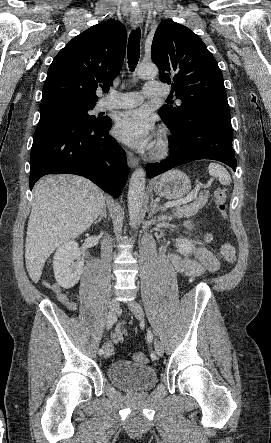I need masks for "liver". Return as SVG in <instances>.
<instances>
[{
  "instance_id": "obj_1",
  "label": "liver",
  "mask_w": 271,
  "mask_h": 443,
  "mask_svg": "<svg viewBox=\"0 0 271 443\" xmlns=\"http://www.w3.org/2000/svg\"><path fill=\"white\" fill-rule=\"evenodd\" d=\"M25 243L27 271L34 283L56 247L86 231L105 206L103 192L71 174L45 176L34 186Z\"/></svg>"
}]
</instances>
